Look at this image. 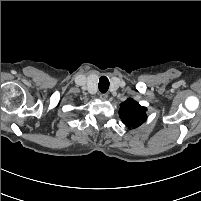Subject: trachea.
Segmentation results:
<instances>
[{"label":"trachea","instance_id":"3493384b","mask_svg":"<svg viewBox=\"0 0 201 201\" xmlns=\"http://www.w3.org/2000/svg\"><path fill=\"white\" fill-rule=\"evenodd\" d=\"M109 85H110V83L106 76L100 77L99 84H98L100 92H102V93L107 92L109 89Z\"/></svg>","mask_w":201,"mask_h":201}]
</instances>
